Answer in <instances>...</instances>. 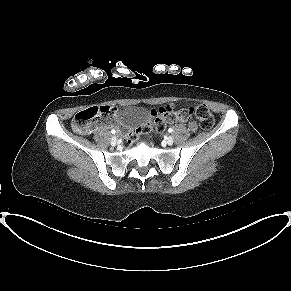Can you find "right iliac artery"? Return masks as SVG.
Segmentation results:
<instances>
[{"instance_id":"1","label":"right iliac artery","mask_w":291,"mask_h":291,"mask_svg":"<svg viewBox=\"0 0 291 291\" xmlns=\"http://www.w3.org/2000/svg\"><path fill=\"white\" fill-rule=\"evenodd\" d=\"M111 133H112V134H115V133H116V131H115L114 129H112V130H111Z\"/></svg>"}]
</instances>
